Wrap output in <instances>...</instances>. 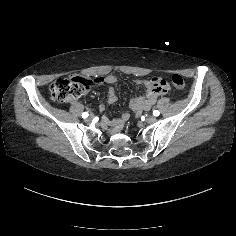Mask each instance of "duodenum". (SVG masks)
Here are the masks:
<instances>
[{"label": "duodenum", "mask_w": 236, "mask_h": 236, "mask_svg": "<svg viewBox=\"0 0 236 236\" xmlns=\"http://www.w3.org/2000/svg\"><path fill=\"white\" fill-rule=\"evenodd\" d=\"M153 86H157L156 84H154ZM153 86H151V87H153ZM159 91V90H158ZM156 94V90H152L151 89V91H150V93H149V98H146V99H140V100H138L137 102H136V105L137 106H142L148 99H150L152 96H154Z\"/></svg>", "instance_id": "1"}]
</instances>
